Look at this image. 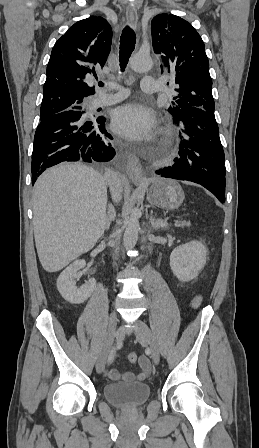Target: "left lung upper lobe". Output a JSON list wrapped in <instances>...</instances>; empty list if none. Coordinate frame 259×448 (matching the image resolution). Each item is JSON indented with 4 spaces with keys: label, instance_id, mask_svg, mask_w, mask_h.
Instances as JSON below:
<instances>
[{
    "label": "left lung upper lobe",
    "instance_id": "obj_1",
    "mask_svg": "<svg viewBox=\"0 0 259 448\" xmlns=\"http://www.w3.org/2000/svg\"><path fill=\"white\" fill-rule=\"evenodd\" d=\"M154 52L163 72H175L172 83L178 95L168 108L175 119L182 111L201 108L214 111L212 79L205 45L186 20L173 14H159L151 24ZM169 84V83H168Z\"/></svg>",
    "mask_w": 259,
    "mask_h": 448
}]
</instances>
